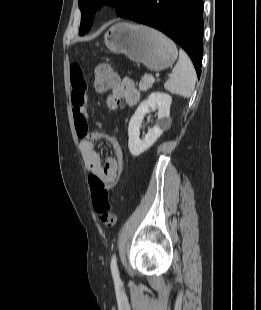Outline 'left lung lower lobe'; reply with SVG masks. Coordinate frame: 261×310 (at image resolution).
<instances>
[{
	"mask_svg": "<svg viewBox=\"0 0 261 310\" xmlns=\"http://www.w3.org/2000/svg\"><path fill=\"white\" fill-rule=\"evenodd\" d=\"M156 28L191 57L198 77L203 57V0H135L124 16Z\"/></svg>",
	"mask_w": 261,
	"mask_h": 310,
	"instance_id": "left-lung-lower-lobe-1",
	"label": "left lung lower lobe"
}]
</instances>
